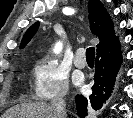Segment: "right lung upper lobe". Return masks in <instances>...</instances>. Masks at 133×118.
Wrapping results in <instances>:
<instances>
[{
	"mask_svg": "<svg viewBox=\"0 0 133 118\" xmlns=\"http://www.w3.org/2000/svg\"><path fill=\"white\" fill-rule=\"evenodd\" d=\"M90 28L93 34L99 37L100 43L97 45V51L109 45L118 37L115 36L112 20L99 0H89L88 4ZM39 27V22L34 23L26 31L20 44L24 48L30 39L34 36Z\"/></svg>",
	"mask_w": 133,
	"mask_h": 118,
	"instance_id": "right-lung-upper-lobe-1",
	"label": "right lung upper lobe"
}]
</instances>
